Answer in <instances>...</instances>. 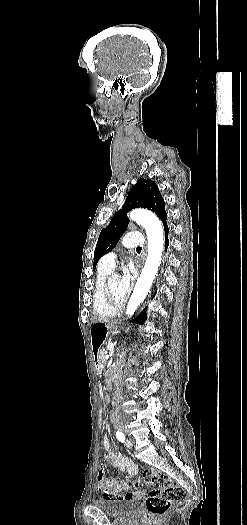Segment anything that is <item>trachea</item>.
Masks as SVG:
<instances>
[{
  "mask_svg": "<svg viewBox=\"0 0 247 525\" xmlns=\"http://www.w3.org/2000/svg\"><path fill=\"white\" fill-rule=\"evenodd\" d=\"M137 249H142V247H137Z\"/></svg>",
  "mask_w": 247,
  "mask_h": 525,
  "instance_id": "1",
  "label": "trachea"
}]
</instances>
